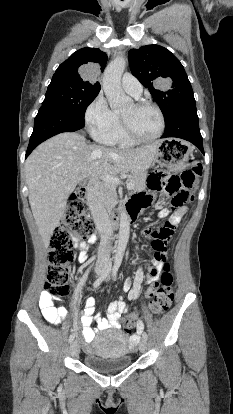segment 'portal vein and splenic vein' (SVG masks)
<instances>
[{"label":"portal vein and splenic vein","mask_w":233,"mask_h":414,"mask_svg":"<svg viewBox=\"0 0 233 414\" xmlns=\"http://www.w3.org/2000/svg\"><path fill=\"white\" fill-rule=\"evenodd\" d=\"M101 179L106 183V184H111V185H115V186H117V185H120V184H122L123 182L117 177V176H112V175H103L102 177H101ZM133 187H134V185L132 184V183H130V182H127L126 183V188L128 189V190H131V189H133Z\"/></svg>","instance_id":"18ae733b"}]
</instances>
